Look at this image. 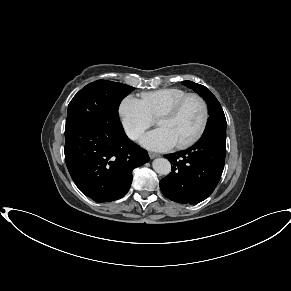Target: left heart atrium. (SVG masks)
Returning <instances> with one entry per match:
<instances>
[{"mask_svg":"<svg viewBox=\"0 0 291 291\" xmlns=\"http://www.w3.org/2000/svg\"><path fill=\"white\" fill-rule=\"evenodd\" d=\"M142 145L154 151H166L173 148L176 143L163 128H157L147 133L141 140Z\"/></svg>","mask_w":291,"mask_h":291,"instance_id":"1","label":"left heart atrium"}]
</instances>
